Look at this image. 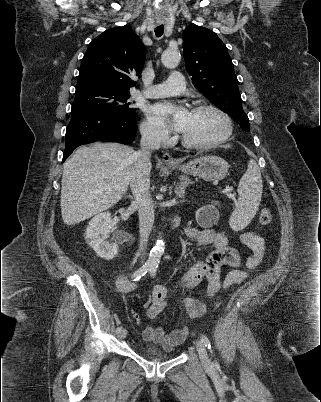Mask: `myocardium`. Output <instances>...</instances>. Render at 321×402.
<instances>
[{
    "label": "myocardium",
    "instance_id": "f54148a6",
    "mask_svg": "<svg viewBox=\"0 0 321 402\" xmlns=\"http://www.w3.org/2000/svg\"><path fill=\"white\" fill-rule=\"evenodd\" d=\"M201 110H212L216 113H218L224 120L225 122V131L224 133L217 139L210 141V142H193L187 139L183 134H181V142L182 144L191 149H211L218 147L219 145L223 144L226 142L232 135L233 133V121L230 115L224 111L222 108H220L217 105L210 104V103H202L194 106L191 111H201Z\"/></svg>",
    "mask_w": 321,
    "mask_h": 402
}]
</instances>
